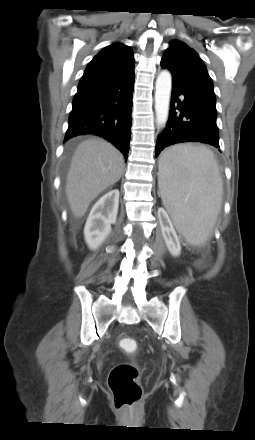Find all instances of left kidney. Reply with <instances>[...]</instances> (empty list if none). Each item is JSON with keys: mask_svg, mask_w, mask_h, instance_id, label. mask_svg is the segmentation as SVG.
Here are the masks:
<instances>
[{"mask_svg": "<svg viewBox=\"0 0 255 440\" xmlns=\"http://www.w3.org/2000/svg\"><path fill=\"white\" fill-rule=\"evenodd\" d=\"M158 214L162 218V233L165 240V244L173 256H179L181 252V246L176 234V231L167 215L163 209H159Z\"/></svg>", "mask_w": 255, "mask_h": 440, "instance_id": "1", "label": "left kidney"}]
</instances>
